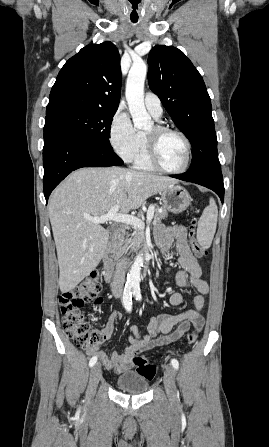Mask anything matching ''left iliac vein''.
<instances>
[{
  "instance_id": "4c4485c4",
  "label": "left iliac vein",
  "mask_w": 269,
  "mask_h": 447,
  "mask_svg": "<svg viewBox=\"0 0 269 447\" xmlns=\"http://www.w3.org/2000/svg\"><path fill=\"white\" fill-rule=\"evenodd\" d=\"M163 379L168 401L173 404L177 401V392L175 386V369L171 365H166Z\"/></svg>"
}]
</instances>
